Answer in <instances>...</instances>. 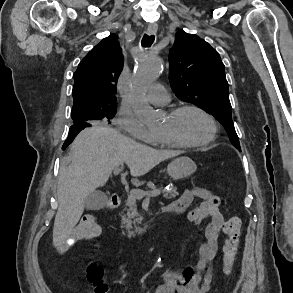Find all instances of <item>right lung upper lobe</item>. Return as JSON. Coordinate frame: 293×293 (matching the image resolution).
I'll return each mask as SVG.
<instances>
[{
  "instance_id": "1",
  "label": "right lung upper lobe",
  "mask_w": 293,
  "mask_h": 293,
  "mask_svg": "<svg viewBox=\"0 0 293 293\" xmlns=\"http://www.w3.org/2000/svg\"><path fill=\"white\" fill-rule=\"evenodd\" d=\"M123 68L118 37L111 34L97 44L79 63L72 90L76 108H116V82Z\"/></svg>"
}]
</instances>
